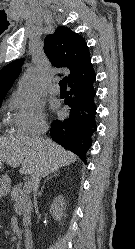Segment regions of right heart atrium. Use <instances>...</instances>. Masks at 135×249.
Returning <instances> with one entry per match:
<instances>
[{"label": "right heart atrium", "instance_id": "right-heart-atrium-1", "mask_svg": "<svg viewBox=\"0 0 135 249\" xmlns=\"http://www.w3.org/2000/svg\"><path fill=\"white\" fill-rule=\"evenodd\" d=\"M9 105L13 111L11 124L18 135L40 134L46 130L45 114L39 104L23 102L14 95Z\"/></svg>", "mask_w": 135, "mask_h": 249}]
</instances>
